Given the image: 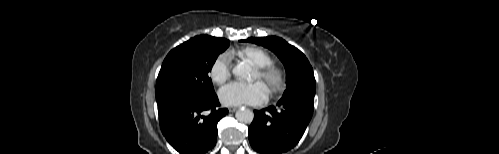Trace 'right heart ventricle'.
Instances as JSON below:
<instances>
[{
    "mask_svg": "<svg viewBox=\"0 0 499 154\" xmlns=\"http://www.w3.org/2000/svg\"><path fill=\"white\" fill-rule=\"evenodd\" d=\"M227 57L229 59L250 62L256 68L264 67L272 63V56L270 53L265 49L256 46H248L235 52L232 51L227 54Z\"/></svg>",
    "mask_w": 499,
    "mask_h": 154,
    "instance_id": "right-heart-ventricle-1",
    "label": "right heart ventricle"
}]
</instances>
